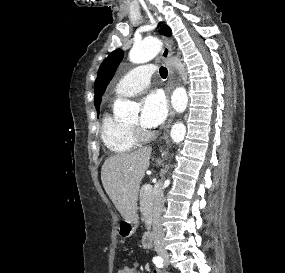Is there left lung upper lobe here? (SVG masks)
Returning <instances> with one entry per match:
<instances>
[{"mask_svg": "<svg viewBox=\"0 0 285 273\" xmlns=\"http://www.w3.org/2000/svg\"><path fill=\"white\" fill-rule=\"evenodd\" d=\"M161 33L164 35H171V30L167 25H162ZM123 59V51L115 50L113 51L101 64L98 70L97 79L94 84L95 99L94 105L99 112V105L101 102L102 95L112 79L114 72Z\"/></svg>", "mask_w": 285, "mask_h": 273, "instance_id": "left-lung-upper-lobe-1", "label": "left lung upper lobe"}]
</instances>
